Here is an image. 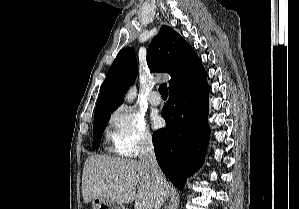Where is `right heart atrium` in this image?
Returning a JSON list of instances; mask_svg holds the SVG:
<instances>
[{
	"instance_id": "1",
	"label": "right heart atrium",
	"mask_w": 299,
	"mask_h": 209,
	"mask_svg": "<svg viewBox=\"0 0 299 209\" xmlns=\"http://www.w3.org/2000/svg\"><path fill=\"white\" fill-rule=\"evenodd\" d=\"M108 125L110 143L124 156L136 157L153 147V139L144 118L127 107L115 109Z\"/></svg>"
}]
</instances>
